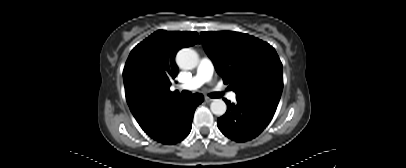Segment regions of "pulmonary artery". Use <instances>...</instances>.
<instances>
[{"instance_id": "pulmonary-artery-1", "label": "pulmonary artery", "mask_w": 406, "mask_h": 168, "mask_svg": "<svg viewBox=\"0 0 406 168\" xmlns=\"http://www.w3.org/2000/svg\"><path fill=\"white\" fill-rule=\"evenodd\" d=\"M214 72V67L212 61L204 56L201 58L196 73L188 81L179 85L181 89L185 90H196L201 87L204 83L211 80ZM228 98L232 101L236 99V93L231 92L228 94Z\"/></svg>"}]
</instances>
